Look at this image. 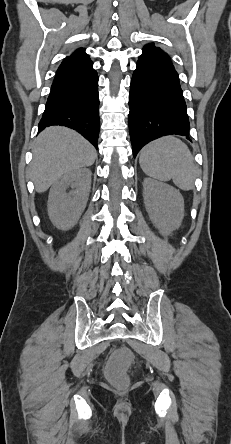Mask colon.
Here are the masks:
<instances>
[{
	"mask_svg": "<svg viewBox=\"0 0 231 444\" xmlns=\"http://www.w3.org/2000/svg\"><path fill=\"white\" fill-rule=\"evenodd\" d=\"M132 361V352L128 348H120L110 356L106 374L113 383L124 386L127 384L126 371Z\"/></svg>",
	"mask_w": 231,
	"mask_h": 444,
	"instance_id": "obj_1",
	"label": "colon"
}]
</instances>
